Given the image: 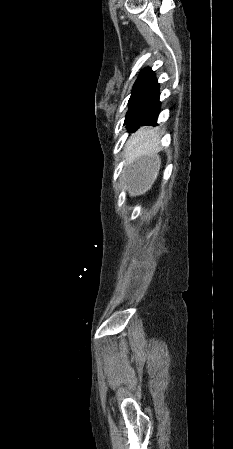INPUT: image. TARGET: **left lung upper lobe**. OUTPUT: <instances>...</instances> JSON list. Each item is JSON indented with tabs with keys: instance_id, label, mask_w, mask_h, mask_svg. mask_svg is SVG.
Masks as SVG:
<instances>
[{
	"instance_id": "1",
	"label": "left lung upper lobe",
	"mask_w": 233,
	"mask_h": 449,
	"mask_svg": "<svg viewBox=\"0 0 233 449\" xmlns=\"http://www.w3.org/2000/svg\"><path fill=\"white\" fill-rule=\"evenodd\" d=\"M159 95V83L154 72L150 68L143 69L133 86L128 103L129 108L124 122L128 131H135L139 128L144 120V115Z\"/></svg>"
}]
</instances>
